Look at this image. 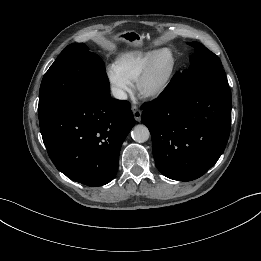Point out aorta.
<instances>
[{
  "mask_svg": "<svg viewBox=\"0 0 261 261\" xmlns=\"http://www.w3.org/2000/svg\"><path fill=\"white\" fill-rule=\"evenodd\" d=\"M131 136L138 143L146 142L150 137L149 129L145 125H136L131 131Z\"/></svg>",
  "mask_w": 261,
  "mask_h": 261,
  "instance_id": "obj_1",
  "label": "aorta"
}]
</instances>
